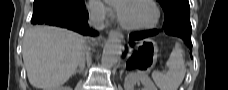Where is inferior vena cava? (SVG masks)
Returning a JSON list of instances; mask_svg holds the SVG:
<instances>
[{"mask_svg":"<svg viewBox=\"0 0 228 90\" xmlns=\"http://www.w3.org/2000/svg\"><path fill=\"white\" fill-rule=\"evenodd\" d=\"M104 10L99 5H92L89 8V25L96 30H103L104 29ZM85 66V57L84 55L79 61V67Z\"/></svg>","mask_w":228,"mask_h":90,"instance_id":"inferior-vena-cava-1","label":"inferior vena cava"}]
</instances>
